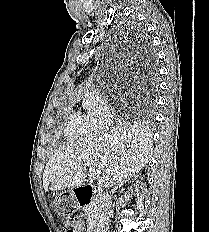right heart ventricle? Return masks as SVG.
I'll return each mask as SVG.
<instances>
[{"label": "right heart ventricle", "instance_id": "obj_1", "mask_svg": "<svg viewBox=\"0 0 209 232\" xmlns=\"http://www.w3.org/2000/svg\"><path fill=\"white\" fill-rule=\"evenodd\" d=\"M87 116L78 110L72 111L66 118L64 133L68 139H78L90 133Z\"/></svg>", "mask_w": 209, "mask_h": 232}]
</instances>
